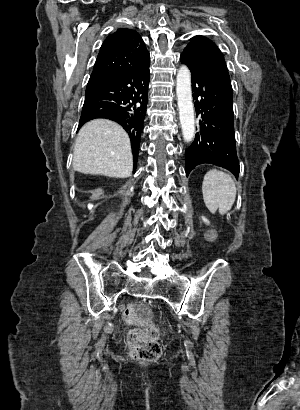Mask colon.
Masks as SVG:
<instances>
[{
  "instance_id": "colon-1",
  "label": "colon",
  "mask_w": 300,
  "mask_h": 410,
  "mask_svg": "<svg viewBox=\"0 0 300 410\" xmlns=\"http://www.w3.org/2000/svg\"><path fill=\"white\" fill-rule=\"evenodd\" d=\"M149 313V307L144 303H131L124 312L128 325L135 327L127 338L131 356L142 362L154 361L162 353L158 329L151 322Z\"/></svg>"
}]
</instances>
